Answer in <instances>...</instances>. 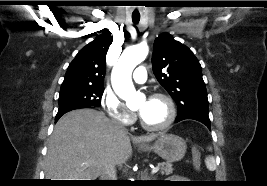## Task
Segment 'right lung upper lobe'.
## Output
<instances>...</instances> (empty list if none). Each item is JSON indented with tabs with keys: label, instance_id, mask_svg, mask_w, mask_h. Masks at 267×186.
<instances>
[{
	"label": "right lung upper lobe",
	"instance_id": "obj_1",
	"mask_svg": "<svg viewBox=\"0 0 267 186\" xmlns=\"http://www.w3.org/2000/svg\"><path fill=\"white\" fill-rule=\"evenodd\" d=\"M108 32L78 52L67 69L62 86H103L106 53L113 40Z\"/></svg>",
	"mask_w": 267,
	"mask_h": 186
}]
</instances>
